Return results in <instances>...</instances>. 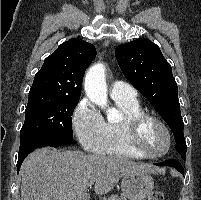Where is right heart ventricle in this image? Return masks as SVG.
Instances as JSON below:
<instances>
[{
    "mask_svg": "<svg viewBox=\"0 0 201 200\" xmlns=\"http://www.w3.org/2000/svg\"><path fill=\"white\" fill-rule=\"evenodd\" d=\"M122 114L120 120H107L104 123V139L102 149L98 153L126 158H142L126 143L125 119L143 113L137 99L112 98Z\"/></svg>",
    "mask_w": 201,
    "mask_h": 200,
    "instance_id": "right-heart-ventricle-1",
    "label": "right heart ventricle"
}]
</instances>
